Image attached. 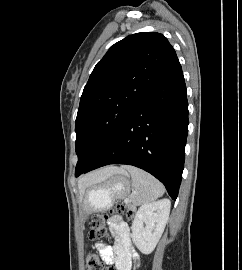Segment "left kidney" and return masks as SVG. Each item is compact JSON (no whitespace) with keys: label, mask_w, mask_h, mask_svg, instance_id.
<instances>
[{"label":"left kidney","mask_w":242,"mask_h":270,"mask_svg":"<svg viewBox=\"0 0 242 270\" xmlns=\"http://www.w3.org/2000/svg\"><path fill=\"white\" fill-rule=\"evenodd\" d=\"M170 206L168 199H162L144 204L136 212L132 238L141 253L148 255L155 249L168 221Z\"/></svg>","instance_id":"left-kidney-1"}]
</instances>
